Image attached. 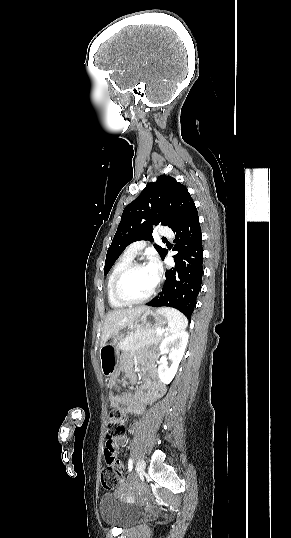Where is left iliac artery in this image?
I'll list each match as a JSON object with an SVG mask.
<instances>
[{
  "label": "left iliac artery",
  "instance_id": "44dca946",
  "mask_svg": "<svg viewBox=\"0 0 291 538\" xmlns=\"http://www.w3.org/2000/svg\"><path fill=\"white\" fill-rule=\"evenodd\" d=\"M132 468H133V459L130 458L129 461H128V470H129V472H131Z\"/></svg>",
  "mask_w": 291,
  "mask_h": 538
}]
</instances>
